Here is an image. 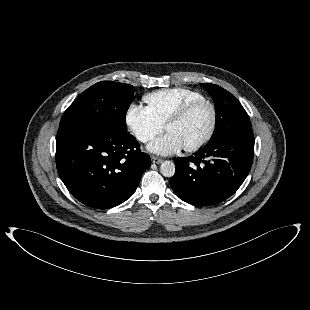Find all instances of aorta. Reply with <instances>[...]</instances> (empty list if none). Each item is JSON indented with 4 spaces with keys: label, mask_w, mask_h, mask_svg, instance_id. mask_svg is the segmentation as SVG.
<instances>
[{
    "label": "aorta",
    "mask_w": 310,
    "mask_h": 310,
    "mask_svg": "<svg viewBox=\"0 0 310 310\" xmlns=\"http://www.w3.org/2000/svg\"><path fill=\"white\" fill-rule=\"evenodd\" d=\"M160 172L165 177H172L175 174V164L172 161H164L160 166Z\"/></svg>",
    "instance_id": "762f6f07"
}]
</instances>
